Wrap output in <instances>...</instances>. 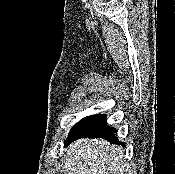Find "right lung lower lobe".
Returning <instances> with one entry per match:
<instances>
[{
    "label": "right lung lower lobe",
    "mask_w": 175,
    "mask_h": 174,
    "mask_svg": "<svg viewBox=\"0 0 175 174\" xmlns=\"http://www.w3.org/2000/svg\"><path fill=\"white\" fill-rule=\"evenodd\" d=\"M114 130V128L107 126L106 115L97 114L88 116L73 126L67 138L66 145L82 137H101L108 140L110 143L124 145V143L117 140L114 135Z\"/></svg>",
    "instance_id": "obj_1"
}]
</instances>
